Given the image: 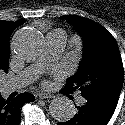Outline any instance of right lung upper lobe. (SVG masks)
I'll return each instance as SVG.
<instances>
[{"label":"right lung upper lobe","mask_w":125,"mask_h":125,"mask_svg":"<svg viewBox=\"0 0 125 125\" xmlns=\"http://www.w3.org/2000/svg\"><path fill=\"white\" fill-rule=\"evenodd\" d=\"M25 22L24 19L17 20L16 22L0 20V49H9L10 47V36L12 32ZM5 64L1 63V66ZM9 63L7 65V70Z\"/></svg>","instance_id":"1"}]
</instances>
